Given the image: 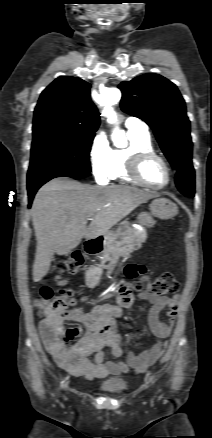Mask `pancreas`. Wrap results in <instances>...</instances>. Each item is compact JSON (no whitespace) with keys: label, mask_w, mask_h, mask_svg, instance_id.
Returning <instances> with one entry per match:
<instances>
[{"label":"pancreas","mask_w":212,"mask_h":438,"mask_svg":"<svg viewBox=\"0 0 212 438\" xmlns=\"http://www.w3.org/2000/svg\"><path fill=\"white\" fill-rule=\"evenodd\" d=\"M146 239V233L138 229H130V231L119 241L103 250L101 265H98V267H91L86 272L87 283H96V280L99 277L100 268H109V266L104 265L105 262L109 261L111 264L116 263L120 257L129 255L134 251L139 250L142 247V243H144Z\"/></svg>","instance_id":"obj_1"}]
</instances>
